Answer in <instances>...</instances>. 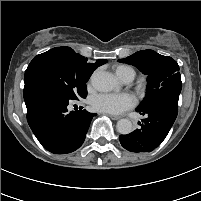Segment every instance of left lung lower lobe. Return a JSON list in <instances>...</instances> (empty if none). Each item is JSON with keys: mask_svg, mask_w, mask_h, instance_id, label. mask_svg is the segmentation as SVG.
Here are the masks:
<instances>
[{"mask_svg": "<svg viewBox=\"0 0 201 201\" xmlns=\"http://www.w3.org/2000/svg\"><path fill=\"white\" fill-rule=\"evenodd\" d=\"M146 118L139 129L127 135H120L121 145L131 152H151L157 148L170 131L178 113V101L161 99L152 105L137 109Z\"/></svg>", "mask_w": 201, "mask_h": 201, "instance_id": "0a47b994", "label": "left lung lower lobe"}]
</instances>
